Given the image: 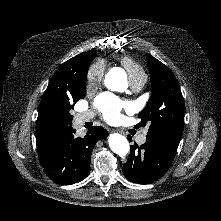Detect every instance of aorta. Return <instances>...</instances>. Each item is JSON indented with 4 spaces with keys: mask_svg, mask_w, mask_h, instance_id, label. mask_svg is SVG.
Wrapping results in <instances>:
<instances>
[{
    "mask_svg": "<svg viewBox=\"0 0 221 221\" xmlns=\"http://www.w3.org/2000/svg\"><path fill=\"white\" fill-rule=\"evenodd\" d=\"M126 84L127 77L123 70L112 69L105 77V85L111 91H120L126 86ZM108 142L111 150L120 157L126 156L130 151L128 140L121 134H111L109 136Z\"/></svg>",
    "mask_w": 221,
    "mask_h": 221,
    "instance_id": "aorta-1",
    "label": "aorta"
}]
</instances>
